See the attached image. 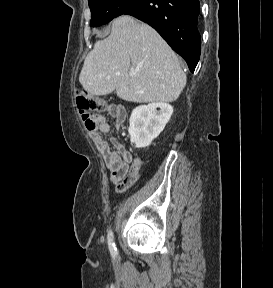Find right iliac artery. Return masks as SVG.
<instances>
[{"instance_id":"obj_1","label":"right iliac artery","mask_w":273,"mask_h":288,"mask_svg":"<svg viewBox=\"0 0 273 288\" xmlns=\"http://www.w3.org/2000/svg\"><path fill=\"white\" fill-rule=\"evenodd\" d=\"M107 239H108L109 250H110L112 255H115L117 253V249H116L115 243L113 241V232L111 230L108 233Z\"/></svg>"}]
</instances>
